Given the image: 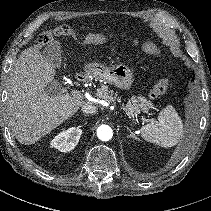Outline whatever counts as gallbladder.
<instances>
[{"label": "gallbladder", "instance_id": "obj_1", "mask_svg": "<svg viewBox=\"0 0 211 211\" xmlns=\"http://www.w3.org/2000/svg\"><path fill=\"white\" fill-rule=\"evenodd\" d=\"M43 57L54 68H60L62 63L61 45L58 41H52L43 49Z\"/></svg>", "mask_w": 211, "mask_h": 211}]
</instances>
